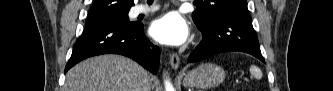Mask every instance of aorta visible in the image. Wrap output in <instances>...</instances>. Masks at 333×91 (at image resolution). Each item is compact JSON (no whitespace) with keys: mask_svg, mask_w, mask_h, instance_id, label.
<instances>
[{"mask_svg":"<svg viewBox=\"0 0 333 91\" xmlns=\"http://www.w3.org/2000/svg\"><path fill=\"white\" fill-rule=\"evenodd\" d=\"M165 89H166V91H174V89L169 81L165 82Z\"/></svg>","mask_w":333,"mask_h":91,"instance_id":"1","label":"aorta"}]
</instances>
